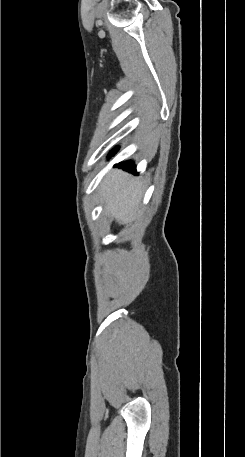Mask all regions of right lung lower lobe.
Instances as JSON below:
<instances>
[{"instance_id":"98d812e1","label":"right lung lower lobe","mask_w":245,"mask_h":457,"mask_svg":"<svg viewBox=\"0 0 245 457\" xmlns=\"http://www.w3.org/2000/svg\"><path fill=\"white\" fill-rule=\"evenodd\" d=\"M116 151H117V149H114V150L112 151L111 155H112L113 153H115ZM118 165H119L120 167H122V168L128 170L129 172L135 171V165H134L132 162H130V161H129V162H125L124 164H121V163H120V164H118Z\"/></svg>"}]
</instances>
